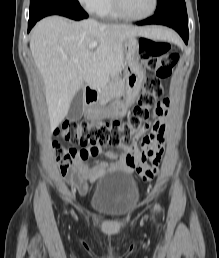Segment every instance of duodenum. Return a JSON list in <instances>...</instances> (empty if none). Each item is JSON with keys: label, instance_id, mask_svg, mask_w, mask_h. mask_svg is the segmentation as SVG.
I'll return each mask as SVG.
<instances>
[{"label": "duodenum", "instance_id": "duodenum-1", "mask_svg": "<svg viewBox=\"0 0 219 258\" xmlns=\"http://www.w3.org/2000/svg\"><path fill=\"white\" fill-rule=\"evenodd\" d=\"M85 98L88 105H95L99 102L98 92L93 87L85 88Z\"/></svg>", "mask_w": 219, "mask_h": 258}]
</instances>
